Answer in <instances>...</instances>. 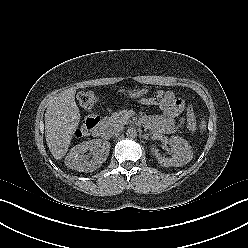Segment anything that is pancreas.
<instances>
[{"label":"pancreas","instance_id":"pancreas-1","mask_svg":"<svg viewBox=\"0 0 248 248\" xmlns=\"http://www.w3.org/2000/svg\"><path fill=\"white\" fill-rule=\"evenodd\" d=\"M130 122V118L127 115V111L122 110L112 114L111 117L105 120V124L110 127H122Z\"/></svg>","mask_w":248,"mask_h":248}]
</instances>
